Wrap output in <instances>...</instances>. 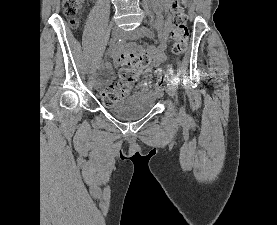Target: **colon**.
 <instances>
[{
  "label": "colon",
  "instance_id": "obj_1",
  "mask_svg": "<svg viewBox=\"0 0 277 225\" xmlns=\"http://www.w3.org/2000/svg\"><path fill=\"white\" fill-rule=\"evenodd\" d=\"M189 0H173L172 3V46L174 55L180 56L185 53L188 42V27L185 7ZM83 0H63V11L70 19L72 25H76L77 15L80 11ZM122 68L119 72V80L104 87L100 91L101 98L105 104H113L127 97L135 83L138 81L140 73L146 70L151 64V58L145 53L127 52L121 56ZM166 83V73L154 71L149 78V84L155 87H163Z\"/></svg>",
  "mask_w": 277,
  "mask_h": 225
}]
</instances>
